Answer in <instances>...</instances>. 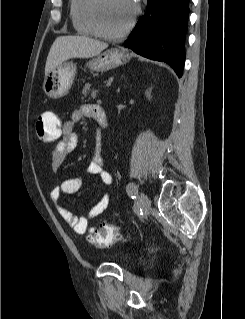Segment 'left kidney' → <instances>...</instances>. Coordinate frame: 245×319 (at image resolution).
<instances>
[{"label": "left kidney", "instance_id": "1", "mask_svg": "<svg viewBox=\"0 0 245 319\" xmlns=\"http://www.w3.org/2000/svg\"><path fill=\"white\" fill-rule=\"evenodd\" d=\"M145 95H146V97L148 98V100H150L151 97H152V96H151V89L146 90Z\"/></svg>", "mask_w": 245, "mask_h": 319}]
</instances>
